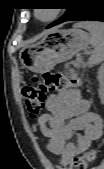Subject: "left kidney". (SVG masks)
Segmentation results:
<instances>
[{
	"label": "left kidney",
	"mask_w": 104,
	"mask_h": 169,
	"mask_svg": "<svg viewBox=\"0 0 104 169\" xmlns=\"http://www.w3.org/2000/svg\"><path fill=\"white\" fill-rule=\"evenodd\" d=\"M103 67L99 69L98 76L100 81L99 96L101 99L104 98V78H103Z\"/></svg>",
	"instance_id": "1"
}]
</instances>
